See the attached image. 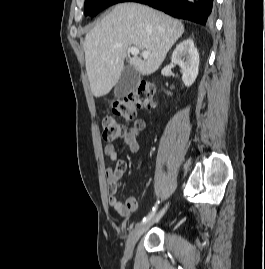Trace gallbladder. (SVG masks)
I'll list each match as a JSON object with an SVG mask.
<instances>
[{
	"label": "gallbladder",
	"instance_id": "bac80fb5",
	"mask_svg": "<svg viewBox=\"0 0 265 269\" xmlns=\"http://www.w3.org/2000/svg\"><path fill=\"white\" fill-rule=\"evenodd\" d=\"M140 79L139 72L131 66H126L115 86L114 95L116 98H124L135 91Z\"/></svg>",
	"mask_w": 265,
	"mask_h": 269
}]
</instances>
